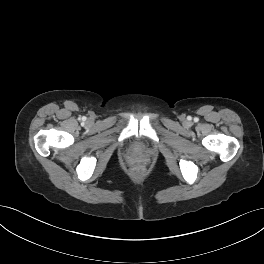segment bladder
I'll list each match as a JSON object with an SVG mask.
<instances>
[{
  "instance_id": "obj_1",
  "label": "bladder",
  "mask_w": 264,
  "mask_h": 264,
  "mask_svg": "<svg viewBox=\"0 0 264 264\" xmlns=\"http://www.w3.org/2000/svg\"><path fill=\"white\" fill-rule=\"evenodd\" d=\"M135 147H136V148H140V144L136 143V144H135Z\"/></svg>"
}]
</instances>
